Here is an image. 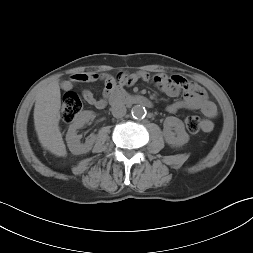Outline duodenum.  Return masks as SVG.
Listing matches in <instances>:
<instances>
[{
    "mask_svg": "<svg viewBox=\"0 0 253 253\" xmlns=\"http://www.w3.org/2000/svg\"><path fill=\"white\" fill-rule=\"evenodd\" d=\"M108 102L112 104H140L146 107L152 106V102L147 97L129 94L116 84L112 85L104 93L102 106L105 107Z\"/></svg>",
    "mask_w": 253,
    "mask_h": 253,
    "instance_id": "1",
    "label": "duodenum"
}]
</instances>
